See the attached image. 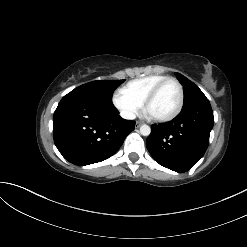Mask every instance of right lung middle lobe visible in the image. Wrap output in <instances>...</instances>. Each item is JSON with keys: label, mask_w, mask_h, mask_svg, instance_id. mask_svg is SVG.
Segmentation results:
<instances>
[{"label": "right lung middle lobe", "mask_w": 247, "mask_h": 247, "mask_svg": "<svg viewBox=\"0 0 247 247\" xmlns=\"http://www.w3.org/2000/svg\"><path fill=\"white\" fill-rule=\"evenodd\" d=\"M125 80H99L83 84L67 95L112 103L113 91Z\"/></svg>", "instance_id": "1"}]
</instances>
